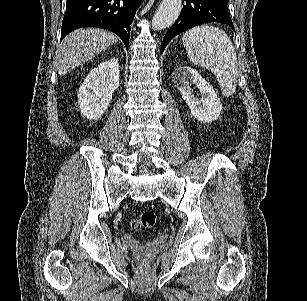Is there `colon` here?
Here are the masks:
<instances>
[{
    "label": "colon",
    "mask_w": 307,
    "mask_h": 301,
    "mask_svg": "<svg viewBox=\"0 0 307 301\" xmlns=\"http://www.w3.org/2000/svg\"><path fill=\"white\" fill-rule=\"evenodd\" d=\"M156 224V214L152 210L143 211L132 223L135 229H151Z\"/></svg>",
    "instance_id": "obj_1"
}]
</instances>
